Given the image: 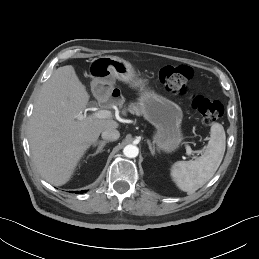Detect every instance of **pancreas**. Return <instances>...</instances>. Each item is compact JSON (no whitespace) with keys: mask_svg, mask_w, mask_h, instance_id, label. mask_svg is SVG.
<instances>
[{"mask_svg":"<svg viewBox=\"0 0 259 259\" xmlns=\"http://www.w3.org/2000/svg\"><path fill=\"white\" fill-rule=\"evenodd\" d=\"M132 112H133V113H136L137 115L140 114V111L138 110V108H137L136 106H133Z\"/></svg>","mask_w":259,"mask_h":259,"instance_id":"1","label":"pancreas"}]
</instances>
